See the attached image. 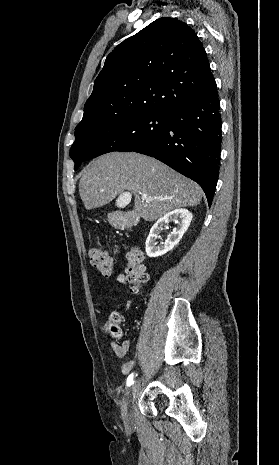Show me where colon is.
I'll use <instances>...</instances> for the list:
<instances>
[{
	"instance_id": "5ec220e1",
	"label": "colon",
	"mask_w": 279,
	"mask_h": 465,
	"mask_svg": "<svg viewBox=\"0 0 279 465\" xmlns=\"http://www.w3.org/2000/svg\"><path fill=\"white\" fill-rule=\"evenodd\" d=\"M91 264L105 277H113L114 265L111 256L100 247L89 250ZM127 281L131 285L132 292H138L148 282V274L144 265V253L137 247H131L127 254ZM120 316L112 314L107 325V333L113 338H119L122 334L119 327Z\"/></svg>"
}]
</instances>
